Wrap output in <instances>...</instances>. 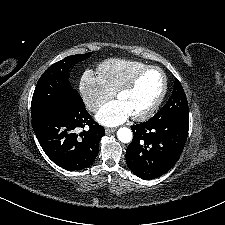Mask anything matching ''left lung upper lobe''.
I'll use <instances>...</instances> for the list:
<instances>
[{
    "mask_svg": "<svg viewBox=\"0 0 225 225\" xmlns=\"http://www.w3.org/2000/svg\"><path fill=\"white\" fill-rule=\"evenodd\" d=\"M181 117H189L188 102L180 82L175 79L174 89L171 97L169 98L168 102L163 106V108L153 116V118L170 119Z\"/></svg>",
    "mask_w": 225,
    "mask_h": 225,
    "instance_id": "left-lung-upper-lobe-1",
    "label": "left lung upper lobe"
}]
</instances>
